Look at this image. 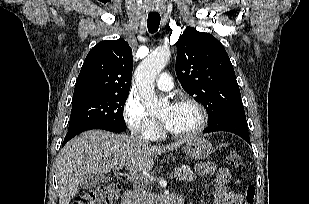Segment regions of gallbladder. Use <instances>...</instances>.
Masks as SVG:
<instances>
[{
	"label": "gallbladder",
	"mask_w": 309,
	"mask_h": 204,
	"mask_svg": "<svg viewBox=\"0 0 309 204\" xmlns=\"http://www.w3.org/2000/svg\"><path fill=\"white\" fill-rule=\"evenodd\" d=\"M104 180H106V177L103 175H92L83 179L80 182L79 187L81 189H91L97 186L99 183L103 182Z\"/></svg>",
	"instance_id": "obj_1"
}]
</instances>
